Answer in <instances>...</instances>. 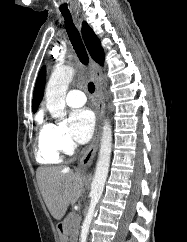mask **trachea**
I'll return each mask as SVG.
<instances>
[{"label": "trachea", "instance_id": "obj_1", "mask_svg": "<svg viewBox=\"0 0 187 242\" xmlns=\"http://www.w3.org/2000/svg\"><path fill=\"white\" fill-rule=\"evenodd\" d=\"M63 17L65 18V28L70 38V41L73 45V48L80 60V62L84 65H88L89 58L85 46L82 42L81 36L73 24L71 14L69 12H62ZM88 90L90 93H94L95 86L93 82H89Z\"/></svg>", "mask_w": 187, "mask_h": 242}]
</instances>
